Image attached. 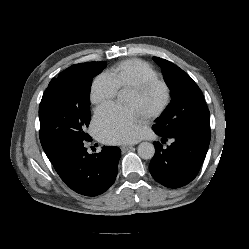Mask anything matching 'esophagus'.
Listing matches in <instances>:
<instances>
[{"label": "esophagus", "instance_id": "1", "mask_svg": "<svg viewBox=\"0 0 249 249\" xmlns=\"http://www.w3.org/2000/svg\"><path fill=\"white\" fill-rule=\"evenodd\" d=\"M132 148H133V147H132L131 145H123V146L120 147V149H121V151H122L123 153L128 152V151L131 150Z\"/></svg>", "mask_w": 249, "mask_h": 249}]
</instances>
